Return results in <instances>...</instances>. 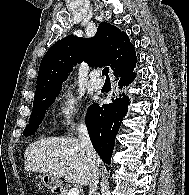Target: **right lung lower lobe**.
<instances>
[{
	"mask_svg": "<svg viewBox=\"0 0 189 195\" xmlns=\"http://www.w3.org/2000/svg\"><path fill=\"white\" fill-rule=\"evenodd\" d=\"M136 74L133 70L117 78L119 89L127 87L135 79ZM129 97L119 94L112 99V102L103 106L94 103L88 108L85 123L89 132L90 140L101 159L110 164L114 149L115 137L119 127L126 115Z\"/></svg>",
	"mask_w": 189,
	"mask_h": 195,
	"instance_id": "98d812e1",
	"label": "right lung lower lobe"
}]
</instances>
